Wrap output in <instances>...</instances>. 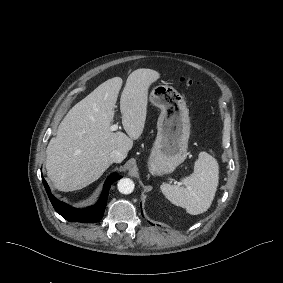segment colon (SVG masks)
I'll list each match as a JSON object with an SVG mask.
<instances>
[{"label":"colon","mask_w":283,"mask_h":283,"mask_svg":"<svg viewBox=\"0 0 283 283\" xmlns=\"http://www.w3.org/2000/svg\"><path fill=\"white\" fill-rule=\"evenodd\" d=\"M181 81L186 87H192L193 86V81L189 78H182Z\"/></svg>","instance_id":"5ec220e1"}]
</instances>
